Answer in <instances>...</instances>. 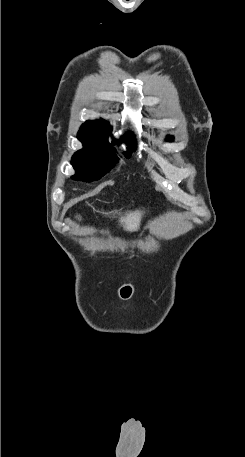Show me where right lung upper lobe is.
<instances>
[{"label": "right lung upper lobe", "mask_w": 245, "mask_h": 457, "mask_svg": "<svg viewBox=\"0 0 245 457\" xmlns=\"http://www.w3.org/2000/svg\"><path fill=\"white\" fill-rule=\"evenodd\" d=\"M82 126L103 127V128L109 127L107 122L91 121V120L86 121Z\"/></svg>", "instance_id": "1"}]
</instances>
